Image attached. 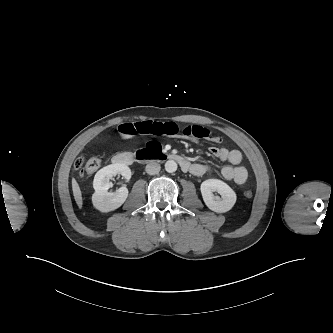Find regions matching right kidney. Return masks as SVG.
Listing matches in <instances>:
<instances>
[{"label": "right kidney", "instance_id": "1", "mask_svg": "<svg viewBox=\"0 0 333 333\" xmlns=\"http://www.w3.org/2000/svg\"><path fill=\"white\" fill-rule=\"evenodd\" d=\"M121 174L127 180L131 178V170L122 163H115L100 169L93 181L94 193L92 202L96 209L101 212H110L119 208L128 197V189L124 186L115 192H109L111 187L110 178Z\"/></svg>", "mask_w": 333, "mask_h": 333}]
</instances>
